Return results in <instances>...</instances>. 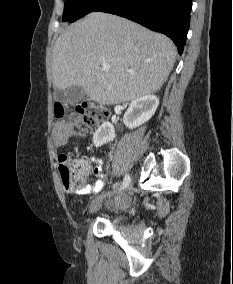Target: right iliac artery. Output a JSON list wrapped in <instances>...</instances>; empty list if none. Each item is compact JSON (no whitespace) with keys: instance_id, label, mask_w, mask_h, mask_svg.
I'll use <instances>...</instances> for the list:
<instances>
[{"instance_id":"82829eb1","label":"right iliac artery","mask_w":233,"mask_h":284,"mask_svg":"<svg viewBox=\"0 0 233 284\" xmlns=\"http://www.w3.org/2000/svg\"><path fill=\"white\" fill-rule=\"evenodd\" d=\"M127 183H130V176L129 175H125L124 179H123V182H122V187H126V184Z\"/></svg>"}]
</instances>
